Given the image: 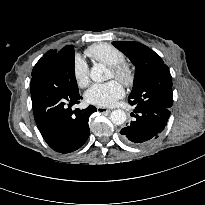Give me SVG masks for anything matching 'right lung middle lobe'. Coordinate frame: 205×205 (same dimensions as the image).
<instances>
[{
    "instance_id": "right-lung-middle-lobe-1",
    "label": "right lung middle lobe",
    "mask_w": 205,
    "mask_h": 205,
    "mask_svg": "<svg viewBox=\"0 0 205 205\" xmlns=\"http://www.w3.org/2000/svg\"><path fill=\"white\" fill-rule=\"evenodd\" d=\"M52 62L51 61H46L43 60L42 58L37 62V64L34 66L33 71H32V75L37 73L39 70H41L42 68H44L45 66L50 65Z\"/></svg>"
}]
</instances>
